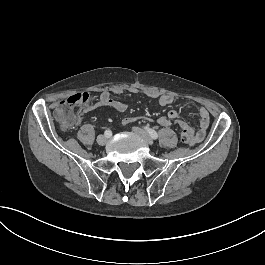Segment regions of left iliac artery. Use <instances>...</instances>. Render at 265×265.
<instances>
[{
	"label": "left iliac artery",
	"instance_id": "left-iliac-artery-1",
	"mask_svg": "<svg viewBox=\"0 0 265 265\" xmlns=\"http://www.w3.org/2000/svg\"><path fill=\"white\" fill-rule=\"evenodd\" d=\"M146 130H147V133L150 135L151 138H153V139L158 138V134L155 130H153L151 128H147V127H146Z\"/></svg>",
	"mask_w": 265,
	"mask_h": 265
}]
</instances>
